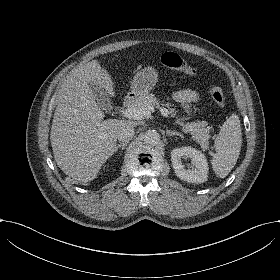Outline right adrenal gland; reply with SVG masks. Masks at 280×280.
Returning a JSON list of instances; mask_svg holds the SVG:
<instances>
[{
	"mask_svg": "<svg viewBox=\"0 0 280 280\" xmlns=\"http://www.w3.org/2000/svg\"><path fill=\"white\" fill-rule=\"evenodd\" d=\"M127 143H119L117 145H115L113 153L118 151V149L121 147L122 149H124L126 147Z\"/></svg>",
	"mask_w": 280,
	"mask_h": 280,
	"instance_id": "obj_1",
	"label": "right adrenal gland"
}]
</instances>
